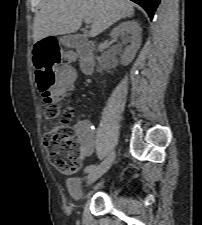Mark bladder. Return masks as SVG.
Instances as JSON below:
<instances>
[{
    "label": "bladder",
    "mask_w": 202,
    "mask_h": 225,
    "mask_svg": "<svg viewBox=\"0 0 202 225\" xmlns=\"http://www.w3.org/2000/svg\"><path fill=\"white\" fill-rule=\"evenodd\" d=\"M68 181V188L70 191V195L72 200L75 204H79L82 202L86 195L83 192L82 187V178L81 177H74L67 180Z\"/></svg>",
    "instance_id": "31cf9c89"
}]
</instances>
